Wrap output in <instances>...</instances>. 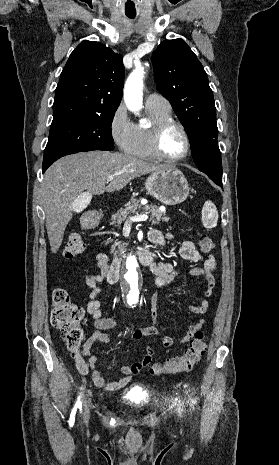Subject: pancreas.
<instances>
[{
    "label": "pancreas",
    "instance_id": "cf45deb5",
    "mask_svg": "<svg viewBox=\"0 0 279 465\" xmlns=\"http://www.w3.org/2000/svg\"><path fill=\"white\" fill-rule=\"evenodd\" d=\"M141 210L150 214V221H152L154 225L159 224L161 221H169V217L165 216V213L159 210L156 205L142 206L139 200L133 199L111 217V224L120 229L122 223L128 220L130 214H137ZM124 248L122 242L115 241L111 247V253L116 256Z\"/></svg>",
    "mask_w": 279,
    "mask_h": 465
}]
</instances>
